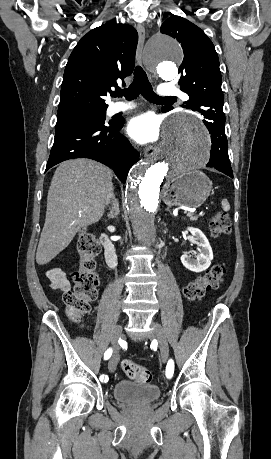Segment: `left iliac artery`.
<instances>
[{"label":"left iliac artery","mask_w":271,"mask_h":459,"mask_svg":"<svg viewBox=\"0 0 271 459\" xmlns=\"http://www.w3.org/2000/svg\"><path fill=\"white\" fill-rule=\"evenodd\" d=\"M173 370H174V362H173L172 359H170V360L168 361L167 369H166V371H165V372H166V377H170V378L173 377V375H174V374H173V372H174ZM171 380H172V379H171Z\"/></svg>","instance_id":"obj_1"}]
</instances>
